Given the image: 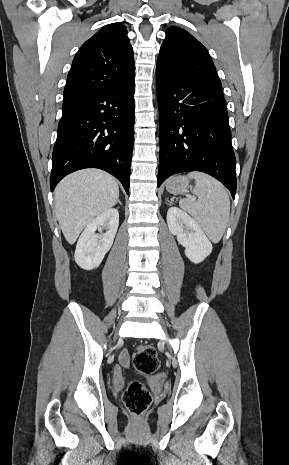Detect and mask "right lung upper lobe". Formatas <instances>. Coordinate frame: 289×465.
<instances>
[{"instance_id":"1","label":"right lung upper lobe","mask_w":289,"mask_h":465,"mask_svg":"<svg viewBox=\"0 0 289 465\" xmlns=\"http://www.w3.org/2000/svg\"><path fill=\"white\" fill-rule=\"evenodd\" d=\"M135 75L133 49L120 23L103 27L74 57L64 90V105L114 89Z\"/></svg>"}]
</instances>
